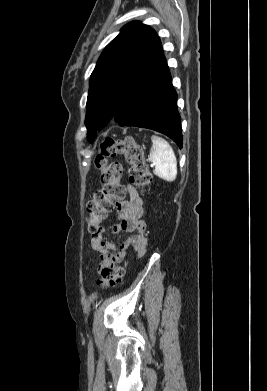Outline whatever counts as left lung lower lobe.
<instances>
[{
    "label": "left lung lower lobe",
    "instance_id": "0a47b994",
    "mask_svg": "<svg viewBox=\"0 0 267 391\" xmlns=\"http://www.w3.org/2000/svg\"><path fill=\"white\" fill-rule=\"evenodd\" d=\"M114 118L120 126H136L163 133L182 148L177 93L164 56L131 89ZM88 140L92 143L90 136Z\"/></svg>",
    "mask_w": 267,
    "mask_h": 391
}]
</instances>
